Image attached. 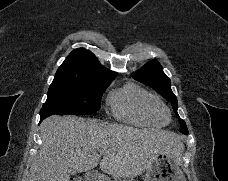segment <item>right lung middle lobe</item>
<instances>
[{
	"instance_id": "right-lung-middle-lobe-1",
	"label": "right lung middle lobe",
	"mask_w": 228,
	"mask_h": 181,
	"mask_svg": "<svg viewBox=\"0 0 228 181\" xmlns=\"http://www.w3.org/2000/svg\"><path fill=\"white\" fill-rule=\"evenodd\" d=\"M111 82L112 80L78 84L52 82L48 98L40 111L41 120L53 114H94L101 107L102 94Z\"/></svg>"
}]
</instances>
